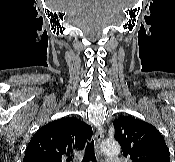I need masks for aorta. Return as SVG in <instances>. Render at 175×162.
Listing matches in <instances>:
<instances>
[{
  "instance_id": "obj_1",
  "label": "aorta",
  "mask_w": 175,
  "mask_h": 162,
  "mask_svg": "<svg viewBox=\"0 0 175 162\" xmlns=\"http://www.w3.org/2000/svg\"><path fill=\"white\" fill-rule=\"evenodd\" d=\"M101 151L107 156H116L120 153V146L115 140H105L101 144Z\"/></svg>"
}]
</instances>
